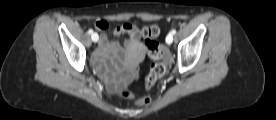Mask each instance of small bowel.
<instances>
[{"label": "small bowel", "instance_id": "obj_1", "mask_svg": "<svg viewBox=\"0 0 276 120\" xmlns=\"http://www.w3.org/2000/svg\"><path fill=\"white\" fill-rule=\"evenodd\" d=\"M95 28L101 33L99 47L94 55V66L97 73L106 83L111 92L120 90L128 79V74L122 72L121 67L126 60L125 48L137 50L140 47V31L132 24L116 26L112 29L115 36L126 35L122 45L119 42H109L105 32L110 28L107 21L99 20Z\"/></svg>", "mask_w": 276, "mask_h": 120}]
</instances>
